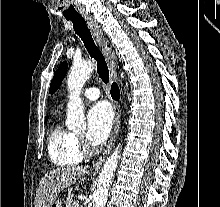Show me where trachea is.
I'll use <instances>...</instances> for the list:
<instances>
[{
	"label": "trachea",
	"instance_id": "1",
	"mask_svg": "<svg viewBox=\"0 0 220 207\" xmlns=\"http://www.w3.org/2000/svg\"><path fill=\"white\" fill-rule=\"evenodd\" d=\"M67 20H70L73 23L75 33L83 41L90 56L94 58L97 62V72L99 74V77L105 84H107L109 82V70L105 58L96 46L84 18L82 16H76L67 18Z\"/></svg>",
	"mask_w": 220,
	"mask_h": 207
}]
</instances>
